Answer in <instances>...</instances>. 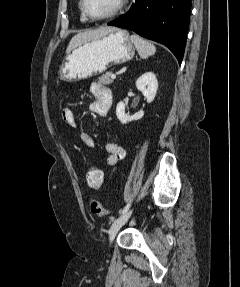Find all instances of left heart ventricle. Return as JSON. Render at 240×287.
<instances>
[{
    "label": "left heart ventricle",
    "instance_id": "b2bd125f",
    "mask_svg": "<svg viewBox=\"0 0 240 287\" xmlns=\"http://www.w3.org/2000/svg\"><path fill=\"white\" fill-rule=\"evenodd\" d=\"M118 0H87V8L94 16L108 14L116 6Z\"/></svg>",
    "mask_w": 240,
    "mask_h": 287
}]
</instances>
